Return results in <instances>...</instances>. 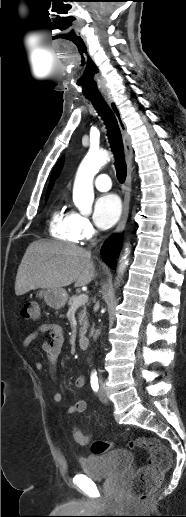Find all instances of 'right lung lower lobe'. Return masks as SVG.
Wrapping results in <instances>:
<instances>
[{"label":"right lung lower lobe","instance_id":"98d812e1","mask_svg":"<svg viewBox=\"0 0 186 517\" xmlns=\"http://www.w3.org/2000/svg\"><path fill=\"white\" fill-rule=\"evenodd\" d=\"M120 237H111L101 249V255L106 264L110 267L114 266V260L119 254L120 250Z\"/></svg>","mask_w":186,"mask_h":517}]
</instances>
